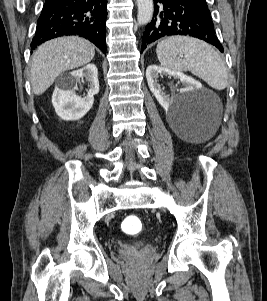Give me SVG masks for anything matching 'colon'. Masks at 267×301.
Listing matches in <instances>:
<instances>
[{
	"instance_id": "colon-1",
	"label": "colon",
	"mask_w": 267,
	"mask_h": 301,
	"mask_svg": "<svg viewBox=\"0 0 267 301\" xmlns=\"http://www.w3.org/2000/svg\"><path fill=\"white\" fill-rule=\"evenodd\" d=\"M121 229L129 235H136L142 230V222L136 215H128L121 224Z\"/></svg>"
}]
</instances>
